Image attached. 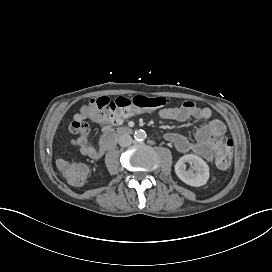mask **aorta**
<instances>
[{"instance_id": "1", "label": "aorta", "mask_w": 272, "mask_h": 272, "mask_svg": "<svg viewBox=\"0 0 272 272\" xmlns=\"http://www.w3.org/2000/svg\"><path fill=\"white\" fill-rule=\"evenodd\" d=\"M146 132L142 129L135 131L134 138L136 141H143L146 138Z\"/></svg>"}]
</instances>
